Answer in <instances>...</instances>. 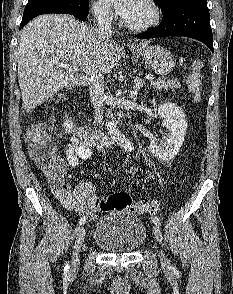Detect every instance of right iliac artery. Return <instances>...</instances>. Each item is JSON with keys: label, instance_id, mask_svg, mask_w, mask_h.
Segmentation results:
<instances>
[{"label": "right iliac artery", "instance_id": "82829eb1", "mask_svg": "<svg viewBox=\"0 0 233 294\" xmlns=\"http://www.w3.org/2000/svg\"><path fill=\"white\" fill-rule=\"evenodd\" d=\"M87 218L86 217H82L80 220H79V223H78V226L76 227L75 229V233L77 232V230L79 229V227L84 224L86 222ZM69 269H70V266L69 264H66L65 267H64V274L65 275H68L69 274Z\"/></svg>", "mask_w": 233, "mask_h": 294}]
</instances>
